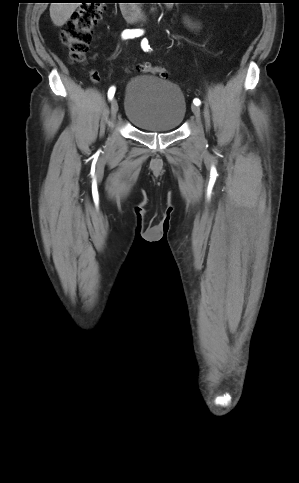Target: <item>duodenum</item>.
Instances as JSON below:
<instances>
[{"instance_id":"obj_1","label":"duodenum","mask_w":299,"mask_h":483,"mask_svg":"<svg viewBox=\"0 0 299 483\" xmlns=\"http://www.w3.org/2000/svg\"><path fill=\"white\" fill-rule=\"evenodd\" d=\"M121 11L125 19L129 22L139 23L145 16L140 7L133 0H123Z\"/></svg>"}]
</instances>
